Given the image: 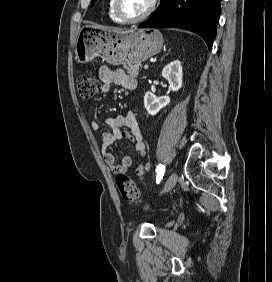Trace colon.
<instances>
[{"instance_id": "obj_1", "label": "colon", "mask_w": 272, "mask_h": 282, "mask_svg": "<svg viewBox=\"0 0 272 282\" xmlns=\"http://www.w3.org/2000/svg\"><path fill=\"white\" fill-rule=\"evenodd\" d=\"M100 81L92 74H82L77 79L78 94L83 100H91L102 89ZM116 184L122 198L132 204L140 203V193L137 185L125 173L118 172ZM147 207L148 205H144Z\"/></svg>"}]
</instances>
